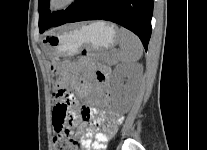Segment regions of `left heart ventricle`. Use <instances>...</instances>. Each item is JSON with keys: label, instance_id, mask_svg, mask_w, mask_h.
Returning <instances> with one entry per match:
<instances>
[{"label": "left heart ventricle", "instance_id": "1", "mask_svg": "<svg viewBox=\"0 0 207 150\" xmlns=\"http://www.w3.org/2000/svg\"><path fill=\"white\" fill-rule=\"evenodd\" d=\"M64 0H56V3L57 4H60V3H62Z\"/></svg>", "mask_w": 207, "mask_h": 150}]
</instances>
